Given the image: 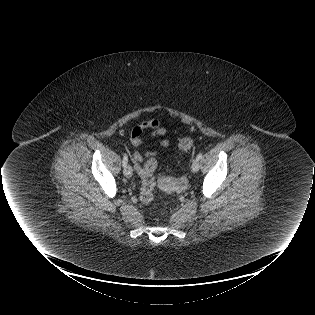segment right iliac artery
<instances>
[{
    "instance_id": "82829eb1",
    "label": "right iliac artery",
    "mask_w": 315,
    "mask_h": 315,
    "mask_svg": "<svg viewBox=\"0 0 315 315\" xmlns=\"http://www.w3.org/2000/svg\"><path fill=\"white\" fill-rule=\"evenodd\" d=\"M127 162H128V156H127V154H124V155H123V162H122V163H123V164H122L123 167H125V166L127 165Z\"/></svg>"
}]
</instances>
